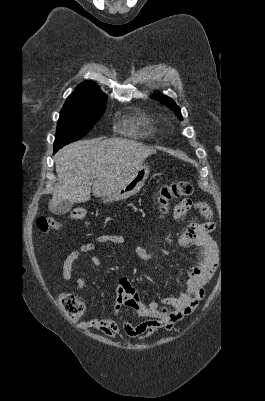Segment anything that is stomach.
<instances>
[{"label":"stomach","instance_id":"0dacf381","mask_svg":"<svg viewBox=\"0 0 265 401\" xmlns=\"http://www.w3.org/2000/svg\"><path fill=\"white\" fill-rule=\"evenodd\" d=\"M150 168L148 164H141L138 170H135L133 176L126 180L125 184H121L120 188L103 196V203H114V201H123V198H129L136 194L143 186L146 178H148Z\"/></svg>","mask_w":265,"mask_h":401}]
</instances>
